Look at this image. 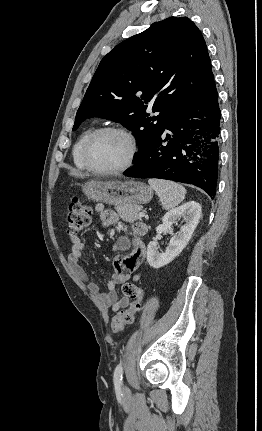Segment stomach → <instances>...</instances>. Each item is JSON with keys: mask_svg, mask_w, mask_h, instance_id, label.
<instances>
[{"mask_svg": "<svg viewBox=\"0 0 262 431\" xmlns=\"http://www.w3.org/2000/svg\"><path fill=\"white\" fill-rule=\"evenodd\" d=\"M82 190L88 199L115 206L146 204L153 196L151 187L135 180L124 182L90 180L83 185Z\"/></svg>", "mask_w": 262, "mask_h": 431, "instance_id": "1", "label": "stomach"}]
</instances>
